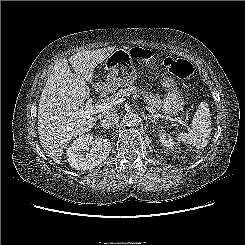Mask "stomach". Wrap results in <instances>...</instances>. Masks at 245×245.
<instances>
[{"label":"stomach","instance_id":"0dacf381","mask_svg":"<svg viewBox=\"0 0 245 245\" xmlns=\"http://www.w3.org/2000/svg\"><path fill=\"white\" fill-rule=\"evenodd\" d=\"M105 68L108 71L106 85L109 89L115 90L118 87L129 86L136 80L137 73L128 50L116 49L106 59ZM161 82L167 89L163 111L175 116L184 108V101L178 91L177 83L171 76H165Z\"/></svg>","mask_w":245,"mask_h":245}]
</instances>
